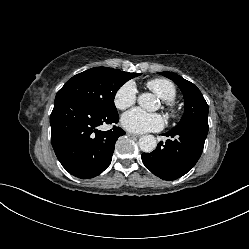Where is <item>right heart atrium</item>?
<instances>
[{
    "instance_id": "right-heart-atrium-1",
    "label": "right heart atrium",
    "mask_w": 249,
    "mask_h": 249,
    "mask_svg": "<svg viewBox=\"0 0 249 249\" xmlns=\"http://www.w3.org/2000/svg\"><path fill=\"white\" fill-rule=\"evenodd\" d=\"M114 105L119 110L131 107L136 101V86L132 82L121 85L114 94Z\"/></svg>"
}]
</instances>
